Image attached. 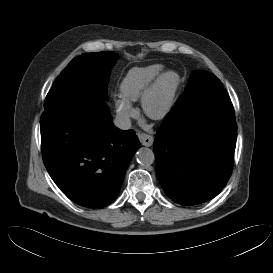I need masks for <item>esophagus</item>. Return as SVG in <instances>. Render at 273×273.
<instances>
[{
  "label": "esophagus",
  "instance_id": "esophagus-1",
  "mask_svg": "<svg viewBox=\"0 0 273 273\" xmlns=\"http://www.w3.org/2000/svg\"><path fill=\"white\" fill-rule=\"evenodd\" d=\"M139 141L143 146L150 147L153 144L154 138L152 135L147 133H140L138 135Z\"/></svg>",
  "mask_w": 273,
  "mask_h": 273
}]
</instances>
